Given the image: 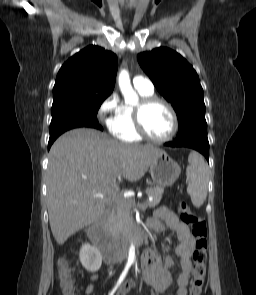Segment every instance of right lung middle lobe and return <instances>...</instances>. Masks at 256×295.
I'll use <instances>...</instances> for the list:
<instances>
[{"mask_svg": "<svg viewBox=\"0 0 256 295\" xmlns=\"http://www.w3.org/2000/svg\"><path fill=\"white\" fill-rule=\"evenodd\" d=\"M106 98L62 100L53 102L50 129L86 120L97 119V112Z\"/></svg>", "mask_w": 256, "mask_h": 295, "instance_id": "right-lung-middle-lobe-1", "label": "right lung middle lobe"}]
</instances>
